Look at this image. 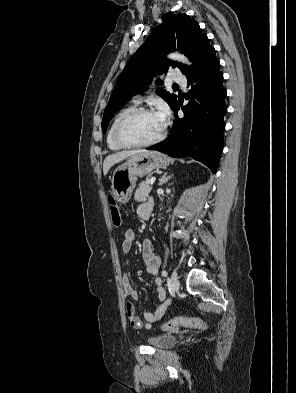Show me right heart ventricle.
I'll use <instances>...</instances> for the list:
<instances>
[{
  "label": "right heart ventricle",
  "instance_id": "1",
  "mask_svg": "<svg viewBox=\"0 0 296 393\" xmlns=\"http://www.w3.org/2000/svg\"><path fill=\"white\" fill-rule=\"evenodd\" d=\"M135 108L134 104L128 105L123 107L122 109H120L117 114L114 116L107 134H106V143L109 147V149L117 151V150H121L124 149L125 147L121 146L120 144L117 143V141L115 140V128L118 124V122L120 121V119L127 114L129 111L133 110Z\"/></svg>",
  "mask_w": 296,
  "mask_h": 393
}]
</instances>
